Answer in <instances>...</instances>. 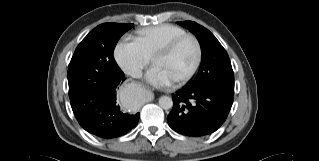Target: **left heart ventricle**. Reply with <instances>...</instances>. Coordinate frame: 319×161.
I'll use <instances>...</instances> for the list:
<instances>
[{"label":"left heart ventricle","instance_id":"obj_1","mask_svg":"<svg viewBox=\"0 0 319 161\" xmlns=\"http://www.w3.org/2000/svg\"><path fill=\"white\" fill-rule=\"evenodd\" d=\"M196 56L194 43L187 39L183 41L169 56L158 58L154 62L161 67L172 81L184 75L193 65Z\"/></svg>","mask_w":319,"mask_h":161}]
</instances>
